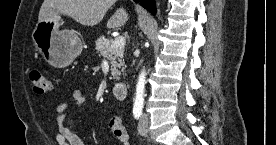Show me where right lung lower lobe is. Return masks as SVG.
Instances as JSON below:
<instances>
[{
  "label": "right lung lower lobe",
  "mask_w": 276,
  "mask_h": 145,
  "mask_svg": "<svg viewBox=\"0 0 276 145\" xmlns=\"http://www.w3.org/2000/svg\"><path fill=\"white\" fill-rule=\"evenodd\" d=\"M136 3H140L141 6L149 10L152 14L156 13L155 0H134Z\"/></svg>",
  "instance_id": "1"
}]
</instances>
